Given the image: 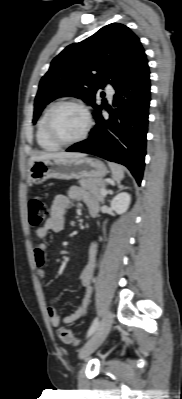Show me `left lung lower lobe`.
<instances>
[{"label": "left lung lower lobe", "mask_w": 182, "mask_h": 399, "mask_svg": "<svg viewBox=\"0 0 182 399\" xmlns=\"http://www.w3.org/2000/svg\"><path fill=\"white\" fill-rule=\"evenodd\" d=\"M148 62L143 63L124 83L117 87L110 117L98 113L90 137L67 151L83 152L126 166L141 184L146 155L150 79Z\"/></svg>", "instance_id": "obj_1"}]
</instances>
